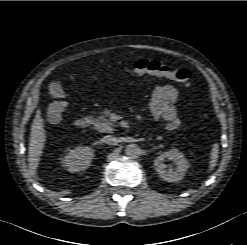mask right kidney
Listing matches in <instances>:
<instances>
[{"label":"right kidney","mask_w":247,"mask_h":245,"mask_svg":"<svg viewBox=\"0 0 247 245\" xmlns=\"http://www.w3.org/2000/svg\"><path fill=\"white\" fill-rule=\"evenodd\" d=\"M93 156V149L87 146H77L70 150L61 161L69 172H78L86 170L90 166Z\"/></svg>","instance_id":"obj_1"}]
</instances>
